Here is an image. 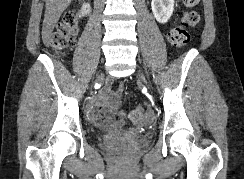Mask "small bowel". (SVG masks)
I'll return each mask as SVG.
<instances>
[{"instance_id": "obj_1", "label": "small bowel", "mask_w": 244, "mask_h": 179, "mask_svg": "<svg viewBox=\"0 0 244 179\" xmlns=\"http://www.w3.org/2000/svg\"><path fill=\"white\" fill-rule=\"evenodd\" d=\"M124 91V85L119 84L116 92H112L106 97H101L97 103V113L91 111V117L97 124V126L105 129L118 128L125 125L126 121L115 120V115H113V110H118L120 105V97ZM132 116H143V126L146 121H154V116H144L143 114H132ZM143 126H137L139 128Z\"/></svg>"}]
</instances>
